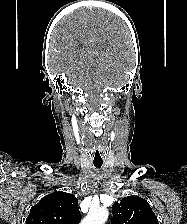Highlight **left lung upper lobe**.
Masks as SVG:
<instances>
[{
  "instance_id": "left-lung-upper-lobe-1",
  "label": "left lung upper lobe",
  "mask_w": 187,
  "mask_h": 224,
  "mask_svg": "<svg viewBox=\"0 0 187 224\" xmlns=\"http://www.w3.org/2000/svg\"><path fill=\"white\" fill-rule=\"evenodd\" d=\"M112 224H158L148 202L139 196H128L113 204Z\"/></svg>"
}]
</instances>
